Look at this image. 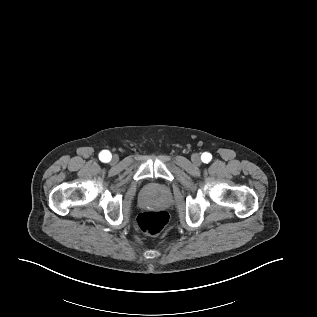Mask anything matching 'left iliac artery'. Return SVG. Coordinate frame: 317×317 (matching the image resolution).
<instances>
[{
  "label": "left iliac artery",
  "mask_w": 317,
  "mask_h": 317,
  "mask_svg": "<svg viewBox=\"0 0 317 317\" xmlns=\"http://www.w3.org/2000/svg\"><path fill=\"white\" fill-rule=\"evenodd\" d=\"M201 159H202V161L204 163H208V162L211 161L212 155L210 153H208V152H205V153L202 154Z\"/></svg>",
  "instance_id": "1"
}]
</instances>
